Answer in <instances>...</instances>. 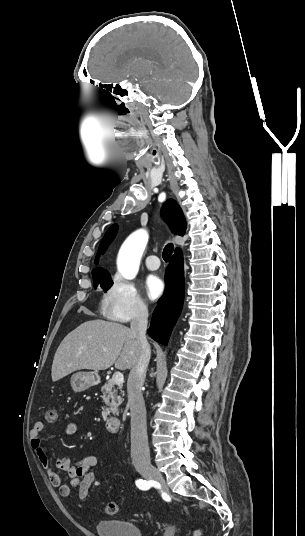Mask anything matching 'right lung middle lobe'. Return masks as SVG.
<instances>
[{"instance_id":"dd1d6c3e","label":"right lung middle lobe","mask_w":305,"mask_h":536,"mask_svg":"<svg viewBox=\"0 0 305 536\" xmlns=\"http://www.w3.org/2000/svg\"><path fill=\"white\" fill-rule=\"evenodd\" d=\"M94 280V287L97 286L101 289H103L104 292H106L113 284V281L111 280V277L108 278H102V279H93Z\"/></svg>"}]
</instances>
